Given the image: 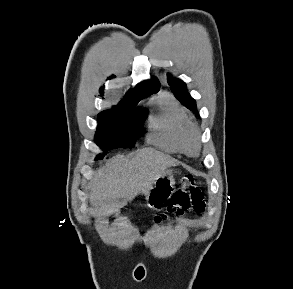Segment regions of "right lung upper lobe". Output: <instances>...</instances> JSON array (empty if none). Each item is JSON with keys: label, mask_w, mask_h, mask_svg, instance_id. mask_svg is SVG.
Wrapping results in <instances>:
<instances>
[{"label": "right lung upper lobe", "mask_w": 293, "mask_h": 289, "mask_svg": "<svg viewBox=\"0 0 293 289\" xmlns=\"http://www.w3.org/2000/svg\"><path fill=\"white\" fill-rule=\"evenodd\" d=\"M159 88L160 83L155 78H153L151 81H144L142 83H139L132 91H129L126 94L125 99L122 100L120 104L126 102L140 101L144 97L156 93Z\"/></svg>", "instance_id": "cb5924a9"}]
</instances>
